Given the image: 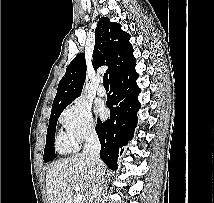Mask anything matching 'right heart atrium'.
I'll list each match as a JSON object with an SVG mask.
<instances>
[{
    "label": "right heart atrium",
    "instance_id": "d8ad5b80",
    "mask_svg": "<svg viewBox=\"0 0 214 203\" xmlns=\"http://www.w3.org/2000/svg\"><path fill=\"white\" fill-rule=\"evenodd\" d=\"M59 122L66 137L75 146L93 136L96 131L91 109L80 99L74 100L65 107L59 117Z\"/></svg>",
    "mask_w": 214,
    "mask_h": 203
}]
</instances>
